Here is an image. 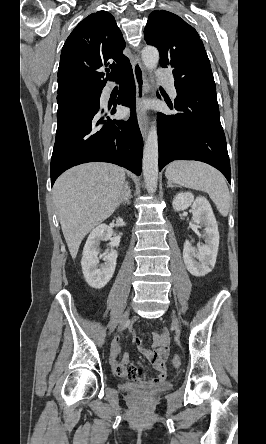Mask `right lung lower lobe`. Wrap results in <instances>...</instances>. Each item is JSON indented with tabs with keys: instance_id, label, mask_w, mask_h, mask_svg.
Wrapping results in <instances>:
<instances>
[{
	"instance_id": "1",
	"label": "right lung lower lobe",
	"mask_w": 266,
	"mask_h": 444,
	"mask_svg": "<svg viewBox=\"0 0 266 444\" xmlns=\"http://www.w3.org/2000/svg\"><path fill=\"white\" fill-rule=\"evenodd\" d=\"M120 91L115 103L131 108L128 120H110L115 108L98 105L57 125L51 158V186L65 170L87 162H109L141 174L143 140L135 115V86L131 64L117 77ZM101 94V91H100Z\"/></svg>"
}]
</instances>
